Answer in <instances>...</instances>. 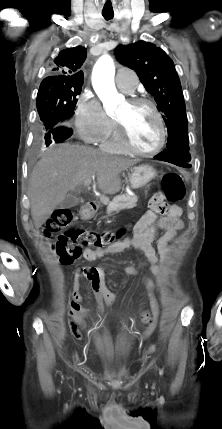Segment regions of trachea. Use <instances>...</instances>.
I'll return each mask as SVG.
<instances>
[{"mask_svg": "<svg viewBox=\"0 0 222 429\" xmlns=\"http://www.w3.org/2000/svg\"><path fill=\"white\" fill-rule=\"evenodd\" d=\"M102 15H103V17H104L106 20H110V19H112V18H113L114 13H113V12H111V13H102Z\"/></svg>", "mask_w": 222, "mask_h": 429, "instance_id": "1", "label": "trachea"}]
</instances>
